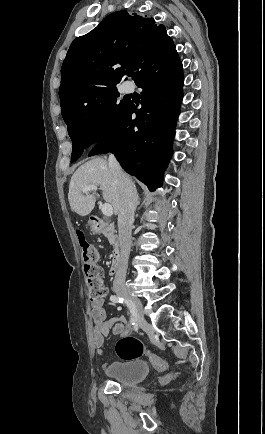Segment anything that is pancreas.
Returning <instances> with one entry per match:
<instances>
[{
	"mask_svg": "<svg viewBox=\"0 0 265 434\" xmlns=\"http://www.w3.org/2000/svg\"><path fill=\"white\" fill-rule=\"evenodd\" d=\"M116 236H108V240L111 244V246H117V242L115 240Z\"/></svg>",
	"mask_w": 265,
	"mask_h": 434,
	"instance_id": "obj_1",
	"label": "pancreas"
}]
</instances>
